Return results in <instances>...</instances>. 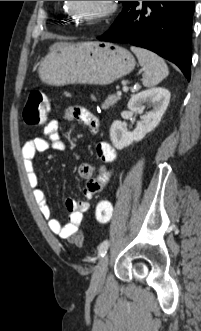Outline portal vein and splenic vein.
Returning a JSON list of instances; mask_svg holds the SVG:
<instances>
[{
	"label": "portal vein and splenic vein",
	"instance_id": "1",
	"mask_svg": "<svg viewBox=\"0 0 201 331\" xmlns=\"http://www.w3.org/2000/svg\"><path fill=\"white\" fill-rule=\"evenodd\" d=\"M123 91H124V92H127V91H128V87H127V86H124V87H123ZM117 94H118V95H121V92H118Z\"/></svg>",
	"mask_w": 201,
	"mask_h": 331
}]
</instances>
